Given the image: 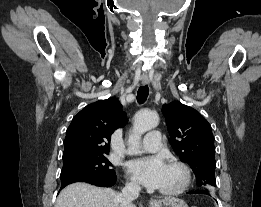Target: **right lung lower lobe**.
I'll return each instance as SVG.
<instances>
[{
	"label": "right lung lower lobe",
	"mask_w": 261,
	"mask_h": 207,
	"mask_svg": "<svg viewBox=\"0 0 261 207\" xmlns=\"http://www.w3.org/2000/svg\"><path fill=\"white\" fill-rule=\"evenodd\" d=\"M117 177L115 176H79L61 181V188L63 189L68 184L74 182H86L95 186L111 187L116 183Z\"/></svg>",
	"instance_id": "1"
}]
</instances>
